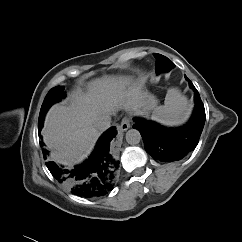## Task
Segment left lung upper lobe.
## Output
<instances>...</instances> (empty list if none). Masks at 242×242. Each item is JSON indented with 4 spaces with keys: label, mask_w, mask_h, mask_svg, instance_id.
I'll return each instance as SVG.
<instances>
[{
    "label": "left lung upper lobe",
    "mask_w": 242,
    "mask_h": 242,
    "mask_svg": "<svg viewBox=\"0 0 242 242\" xmlns=\"http://www.w3.org/2000/svg\"><path fill=\"white\" fill-rule=\"evenodd\" d=\"M154 57L156 58L155 70L157 73H161L162 71H169L175 66L172 61L161 54L154 53Z\"/></svg>",
    "instance_id": "5c2ea615"
}]
</instances>
